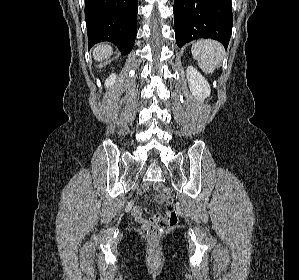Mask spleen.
Segmentation results:
<instances>
[{
	"label": "spleen",
	"instance_id": "obj_1",
	"mask_svg": "<svg viewBox=\"0 0 299 280\" xmlns=\"http://www.w3.org/2000/svg\"><path fill=\"white\" fill-rule=\"evenodd\" d=\"M192 56L203 72L209 74L218 68L224 57L223 46L214 40H199L192 45Z\"/></svg>",
	"mask_w": 299,
	"mask_h": 280
}]
</instances>
